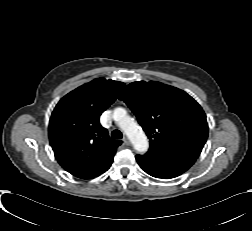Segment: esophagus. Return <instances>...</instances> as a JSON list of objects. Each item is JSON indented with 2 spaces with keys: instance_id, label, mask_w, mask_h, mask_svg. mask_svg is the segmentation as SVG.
<instances>
[{
  "instance_id": "34e87169",
  "label": "esophagus",
  "mask_w": 252,
  "mask_h": 231,
  "mask_svg": "<svg viewBox=\"0 0 252 231\" xmlns=\"http://www.w3.org/2000/svg\"><path fill=\"white\" fill-rule=\"evenodd\" d=\"M123 142H124V144L127 145V146H129V145L131 144L129 138L126 137V136L123 137Z\"/></svg>"
}]
</instances>
